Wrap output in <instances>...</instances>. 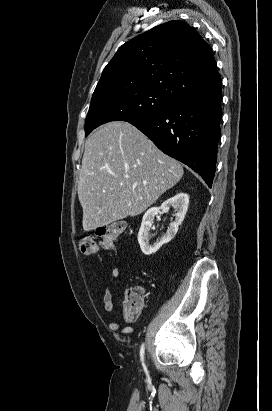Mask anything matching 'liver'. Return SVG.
I'll use <instances>...</instances> for the list:
<instances>
[{
	"instance_id": "liver-1",
	"label": "liver",
	"mask_w": 272,
	"mask_h": 411,
	"mask_svg": "<svg viewBox=\"0 0 272 411\" xmlns=\"http://www.w3.org/2000/svg\"><path fill=\"white\" fill-rule=\"evenodd\" d=\"M183 173L177 160L130 123L101 126L86 140L79 175L84 231L141 214Z\"/></svg>"
}]
</instances>
